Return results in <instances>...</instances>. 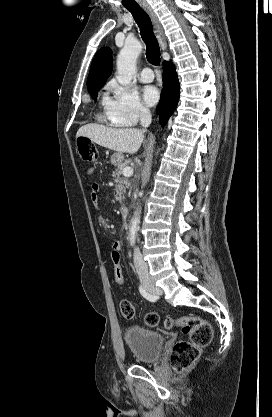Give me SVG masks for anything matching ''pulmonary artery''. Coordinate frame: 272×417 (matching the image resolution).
I'll return each mask as SVG.
<instances>
[{
	"label": "pulmonary artery",
	"instance_id": "e3ab8cb5",
	"mask_svg": "<svg viewBox=\"0 0 272 417\" xmlns=\"http://www.w3.org/2000/svg\"><path fill=\"white\" fill-rule=\"evenodd\" d=\"M139 79L144 83L152 82L154 79V74L150 68L145 67L139 73Z\"/></svg>",
	"mask_w": 272,
	"mask_h": 417
}]
</instances>
